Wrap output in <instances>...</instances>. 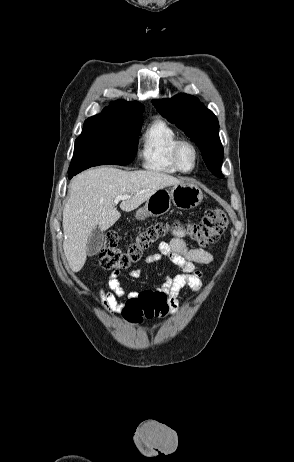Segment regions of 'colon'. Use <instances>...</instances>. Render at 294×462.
Instances as JSON below:
<instances>
[{
    "label": "colon",
    "mask_w": 294,
    "mask_h": 462,
    "mask_svg": "<svg viewBox=\"0 0 294 462\" xmlns=\"http://www.w3.org/2000/svg\"><path fill=\"white\" fill-rule=\"evenodd\" d=\"M228 227V218L221 207L208 208L199 222L188 226L191 238L201 246L216 242ZM166 233L162 223L154 224L140 232L126 249L119 248V236L110 232L99 252L100 266L105 270L122 271L138 263L143 254ZM170 311L166 296L155 290L139 292L129 298L122 310L125 319L140 323L143 319L165 316Z\"/></svg>",
    "instance_id": "obj_1"
}]
</instances>
